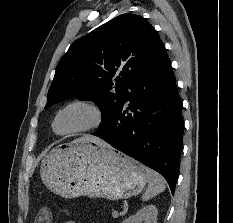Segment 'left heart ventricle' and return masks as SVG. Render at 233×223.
Segmentation results:
<instances>
[{"instance_id":"b2bd125f","label":"left heart ventricle","mask_w":233,"mask_h":223,"mask_svg":"<svg viewBox=\"0 0 233 223\" xmlns=\"http://www.w3.org/2000/svg\"><path fill=\"white\" fill-rule=\"evenodd\" d=\"M96 122L94 112L88 107L76 105L64 110L58 117L56 130L71 133L93 126Z\"/></svg>"}]
</instances>
